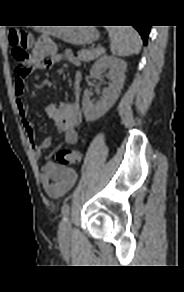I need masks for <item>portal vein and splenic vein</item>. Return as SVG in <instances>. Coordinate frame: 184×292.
Masks as SVG:
<instances>
[{
    "label": "portal vein and splenic vein",
    "instance_id": "obj_1",
    "mask_svg": "<svg viewBox=\"0 0 184 292\" xmlns=\"http://www.w3.org/2000/svg\"><path fill=\"white\" fill-rule=\"evenodd\" d=\"M98 50H99V51H101V52H103V51H104V50L102 49V47H99V48H98Z\"/></svg>",
    "mask_w": 184,
    "mask_h": 292
}]
</instances>
